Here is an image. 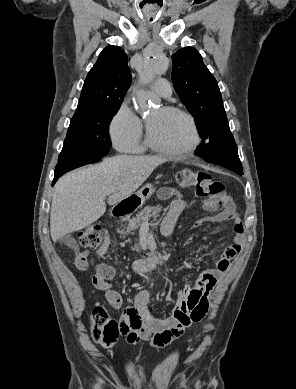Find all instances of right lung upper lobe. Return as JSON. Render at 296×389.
I'll return each instance as SVG.
<instances>
[{"label":"right lung upper lobe","instance_id":"right-lung-upper-lobe-1","mask_svg":"<svg viewBox=\"0 0 296 389\" xmlns=\"http://www.w3.org/2000/svg\"><path fill=\"white\" fill-rule=\"evenodd\" d=\"M130 85L126 53L118 46H107L85 79L72 120L94 110L120 106Z\"/></svg>","mask_w":296,"mask_h":389}]
</instances>
